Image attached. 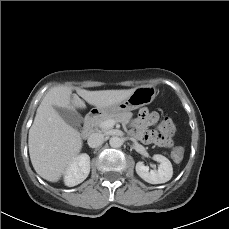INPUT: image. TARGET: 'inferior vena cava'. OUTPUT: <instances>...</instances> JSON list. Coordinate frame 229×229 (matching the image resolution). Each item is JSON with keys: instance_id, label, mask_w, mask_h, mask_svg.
<instances>
[{"instance_id": "inferior-vena-cava-1", "label": "inferior vena cava", "mask_w": 229, "mask_h": 229, "mask_svg": "<svg viewBox=\"0 0 229 229\" xmlns=\"http://www.w3.org/2000/svg\"><path fill=\"white\" fill-rule=\"evenodd\" d=\"M88 145L92 148L99 147L104 142V135L102 133H92L88 138Z\"/></svg>"}]
</instances>
